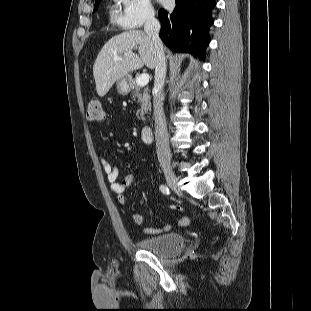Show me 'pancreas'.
I'll list each match as a JSON object with an SVG mask.
<instances>
[{
  "instance_id": "cf45deb5",
  "label": "pancreas",
  "mask_w": 311,
  "mask_h": 311,
  "mask_svg": "<svg viewBox=\"0 0 311 311\" xmlns=\"http://www.w3.org/2000/svg\"><path fill=\"white\" fill-rule=\"evenodd\" d=\"M130 90L132 91L133 98L137 99L140 104V109L137 111L138 119L145 120V113L151 109V97L149 88L138 85L134 80H131Z\"/></svg>"
}]
</instances>
